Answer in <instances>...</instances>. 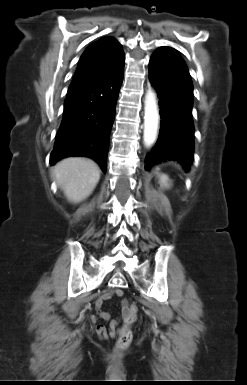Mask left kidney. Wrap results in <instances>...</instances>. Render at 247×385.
<instances>
[{"instance_id": "5707ae66", "label": "left kidney", "mask_w": 247, "mask_h": 385, "mask_svg": "<svg viewBox=\"0 0 247 385\" xmlns=\"http://www.w3.org/2000/svg\"><path fill=\"white\" fill-rule=\"evenodd\" d=\"M168 176L165 174L160 175V182L163 186H168Z\"/></svg>"}]
</instances>
